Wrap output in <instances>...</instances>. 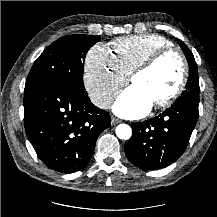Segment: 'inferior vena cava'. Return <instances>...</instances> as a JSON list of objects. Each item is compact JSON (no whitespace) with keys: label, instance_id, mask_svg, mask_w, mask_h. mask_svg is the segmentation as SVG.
<instances>
[{"label":"inferior vena cava","instance_id":"602c4592","mask_svg":"<svg viewBox=\"0 0 217 217\" xmlns=\"http://www.w3.org/2000/svg\"><path fill=\"white\" fill-rule=\"evenodd\" d=\"M91 101L97 107L107 109L112 103V97L108 93H101L91 96Z\"/></svg>","mask_w":217,"mask_h":217}]
</instances>
